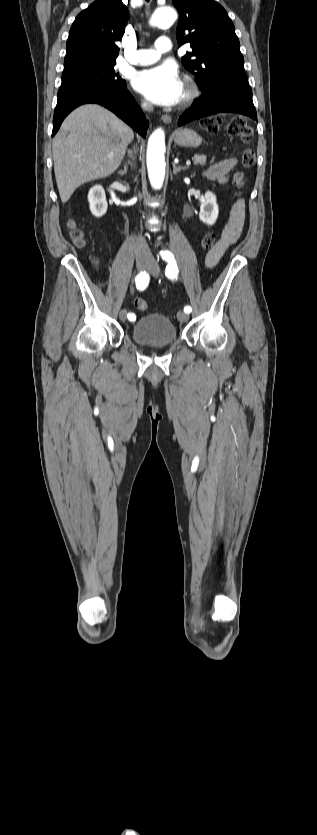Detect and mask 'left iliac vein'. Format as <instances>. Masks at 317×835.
Segmentation results:
<instances>
[{"label": "left iliac vein", "mask_w": 317, "mask_h": 835, "mask_svg": "<svg viewBox=\"0 0 317 835\" xmlns=\"http://www.w3.org/2000/svg\"><path fill=\"white\" fill-rule=\"evenodd\" d=\"M149 273L153 276L157 277L159 275L160 269L157 261L154 258H150L148 267L146 268ZM177 318L181 322H187L189 319V315L186 312L180 311L177 314Z\"/></svg>", "instance_id": "left-iliac-vein-1"}]
</instances>
